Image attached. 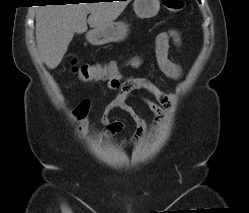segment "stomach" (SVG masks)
Masks as SVG:
<instances>
[{"mask_svg": "<svg viewBox=\"0 0 249 213\" xmlns=\"http://www.w3.org/2000/svg\"><path fill=\"white\" fill-rule=\"evenodd\" d=\"M133 8L139 18H151L160 9L159 0H134ZM128 25L122 21L111 22L87 33V39L93 45H103L111 42L123 41L128 34Z\"/></svg>", "mask_w": 249, "mask_h": 213, "instance_id": "stomach-1", "label": "stomach"}]
</instances>
